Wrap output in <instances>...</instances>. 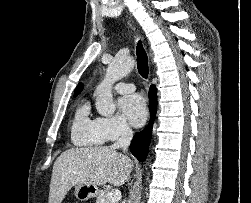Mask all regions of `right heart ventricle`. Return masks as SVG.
Wrapping results in <instances>:
<instances>
[{
	"label": "right heart ventricle",
	"mask_w": 251,
	"mask_h": 203,
	"mask_svg": "<svg viewBox=\"0 0 251 203\" xmlns=\"http://www.w3.org/2000/svg\"><path fill=\"white\" fill-rule=\"evenodd\" d=\"M71 140L77 146L97 147L105 140L98 129L97 120L90 116L87 102L83 103L75 112L71 126Z\"/></svg>",
	"instance_id": "obj_1"
}]
</instances>
